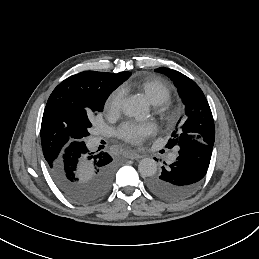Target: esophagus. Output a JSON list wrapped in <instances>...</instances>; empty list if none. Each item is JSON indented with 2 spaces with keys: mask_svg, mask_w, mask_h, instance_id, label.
<instances>
[{
  "mask_svg": "<svg viewBox=\"0 0 259 259\" xmlns=\"http://www.w3.org/2000/svg\"><path fill=\"white\" fill-rule=\"evenodd\" d=\"M126 157L128 159H137V158H141V154L135 152V151H128L126 153Z\"/></svg>",
  "mask_w": 259,
  "mask_h": 259,
  "instance_id": "34e87169",
  "label": "esophagus"
}]
</instances>
